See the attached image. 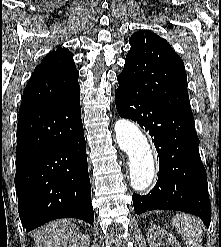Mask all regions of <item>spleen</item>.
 Listing matches in <instances>:
<instances>
[{
  "label": "spleen",
  "instance_id": "spleen-1",
  "mask_svg": "<svg viewBox=\"0 0 221 247\" xmlns=\"http://www.w3.org/2000/svg\"><path fill=\"white\" fill-rule=\"evenodd\" d=\"M172 223L181 234L186 247H202V230L195 218L186 214H176Z\"/></svg>",
  "mask_w": 221,
  "mask_h": 247
}]
</instances>
